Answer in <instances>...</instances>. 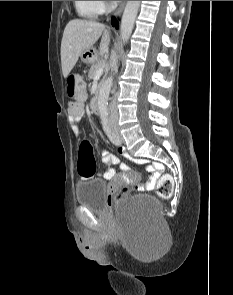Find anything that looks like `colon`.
<instances>
[{"label":"colon","instance_id":"5ec220e1","mask_svg":"<svg viewBox=\"0 0 233 295\" xmlns=\"http://www.w3.org/2000/svg\"><path fill=\"white\" fill-rule=\"evenodd\" d=\"M66 95L73 101H80L86 97L85 83L78 75H69L66 80ZM96 172V163L93 155L92 145L88 141L82 142L79 149L78 173L83 178L92 177ZM174 183L170 175H164L160 178L157 186V193L160 198L168 199L173 193ZM122 189L116 199L122 197L125 192Z\"/></svg>","mask_w":233,"mask_h":295}]
</instances>
